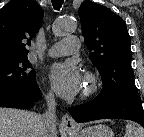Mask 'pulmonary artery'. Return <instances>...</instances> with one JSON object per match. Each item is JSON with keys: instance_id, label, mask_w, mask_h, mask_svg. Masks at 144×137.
<instances>
[{"instance_id": "obj_1", "label": "pulmonary artery", "mask_w": 144, "mask_h": 137, "mask_svg": "<svg viewBox=\"0 0 144 137\" xmlns=\"http://www.w3.org/2000/svg\"><path fill=\"white\" fill-rule=\"evenodd\" d=\"M79 46L80 42L77 37H65L49 48L48 55L51 57L66 56L77 52Z\"/></svg>"}]
</instances>
